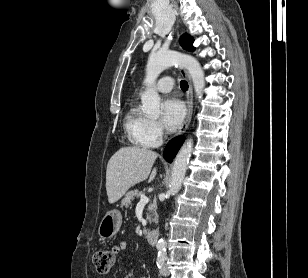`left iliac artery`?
Segmentation results:
<instances>
[{
    "mask_svg": "<svg viewBox=\"0 0 308 278\" xmlns=\"http://www.w3.org/2000/svg\"><path fill=\"white\" fill-rule=\"evenodd\" d=\"M165 257H166V249H160L157 257V267L159 269L163 267Z\"/></svg>",
    "mask_w": 308,
    "mask_h": 278,
    "instance_id": "obj_1",
    "label": "left iliac artery"
}]
</instances>
